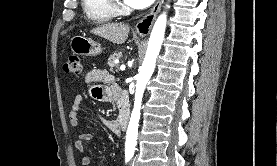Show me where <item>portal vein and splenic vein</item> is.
Listing matches in <instances>:
<instances>
[{
	"mask_svg": "<svg viewBox=\"0 0 277 166\" xmlns=\"http://www.w3.org/2000/svg\"><path fill=\"white\" fill-rule=\"evenodd\" d=\"M120 69H121V70H124V69H125V65H121V66H120Z\"/></svg>",
	"mask_w": 277,
	"mask_h": 166,
	"instance_id": "obj_1",
	"label": "portal vein and splenic vein"
}]
</instances>
